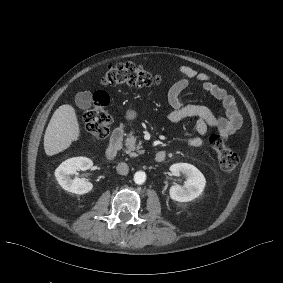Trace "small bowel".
<instances>
[{
    "label": "small bowel",
    "mask_w": 283,
    "mask_h": 283,
    "mask_svg": "<svg viewBox=\"0 0 283 283\" xmlns=\"http://www.w3.org/2000/svg\"><path fill=\"white\" fill-rule=\"evenodd\" d=\"M179 72L182 77L172 84L167 93L168 103L172 108L168 120L171 123H178L186 118H196L194 127L198 135L188 138L186 144L195 148L201 147L204 144L203 136L212 128L224 138L237 134L242 127V116L235 98L226 89L215 84L206 73L198 72L187 65L180 66ZM195 82L203 91L222 102L225 110L223 115L215 116L205 105L184 102L181 98L182 93Z\"/></svg>",
    "instance_id": "c3829d8e"
}]
</instances>
